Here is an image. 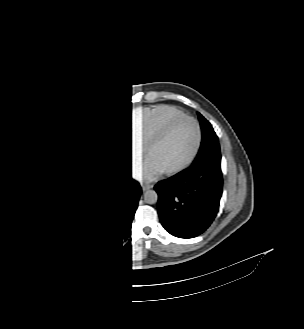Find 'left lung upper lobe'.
I'll return each instance as SVG.
<instances>
[{"label":"left lung upper lobe","mask_w":304,"mask_h":329,"mask_svg":"<svg viewBox=\"0 0 304 329\" xmlns=\"http://www.w3.org/2000/svg\"><path fill=\"white\" fill-rule=\"evenodd\" d=\"M198 117L202 129V142H201L199 153L195 161L201 155L207 152L212 146L218 144V137L214 132V129L212 128L211 124L200 113H198Z\"/></svg>","instance_id":"obj_1"}]
</instances>
